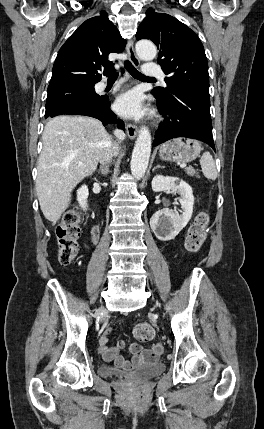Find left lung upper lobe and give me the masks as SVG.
Instances as JSON below:
<instances>
[{
  "label": "left lung upper lobe",
  "mask_w": 264,
  "mask_h": 429,
  "mask_svg": "<svg viewBox=\"0 0 264 429\" xmlns=\"http://www.w3.org/2000/svg\"><path fill=\"white\" fill-rule=\"evenodd\" d=\"M137 40L150 39L158 50V63L164 73L166 88L151 93L161 101L174 97L178 86L209 95L208 63L199 37L176 18L149 8L136 33Z\"/></svg>",
  "instance_id": "5c2ea615"
}]
</instances>
